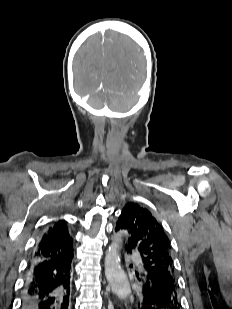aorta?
Masks as SVG:
<instances>
[{"label": "aorta", "mask_w": 232, "mask_h": 309, "mask_svg": "<svg viewBox=\"0 0 232 309\" xmlns=\"http://www.w3.org/2000/svg\"><path fill=\"white\" fill-rule=\"evenodd\" d=\"M121 238L117 237L105 256V276L112 291L120 299H126L131 294V288L127 276L120 265L119 248Z\"/></svg>", "instance_id": "762f6f07"}]
</instances>
